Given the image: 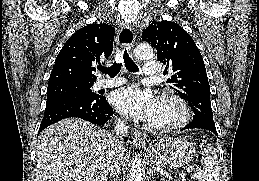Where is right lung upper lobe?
Wrapping results in <instances>:
<instances>
[{
    "instance_id": "1",
    "label": "right lung upper lobe",
    "mask_w": 259,
    "mask_h": 181,
    "mask_svg": "<svg viewBox=\"0 0 259 181\" xmlns=\"http://www.w3.org/2000/svg\"><path fill=\"white\" fill-rule=\"evenodd\" d=\"M114 34L115 29L106 23L90 24L76 31L59 52L48 86L94 83L95 66L111 55Z\"/></svg>"
}]
</instances>
